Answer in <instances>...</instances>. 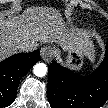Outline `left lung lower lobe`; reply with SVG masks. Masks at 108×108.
I'll return each instance as SVG.
<instances>
[{"mask_svg": "<svg viewBox=\"0 0 108 108\" xmlns=\"http://www.w3.org/2000/svg\"><path fill=\"white\" fill-rule=\"evenodd\" d=\"M47 96L51 108H100L108 99V45L103 62L88 76L51 63Z\"/></svg>", "mask_w": 108, "mask_h": 108, "instance_id": "left-lung-lower-lobe-1", "label": "left lung lower lobe"}]
</instances>
